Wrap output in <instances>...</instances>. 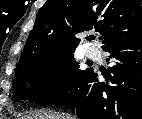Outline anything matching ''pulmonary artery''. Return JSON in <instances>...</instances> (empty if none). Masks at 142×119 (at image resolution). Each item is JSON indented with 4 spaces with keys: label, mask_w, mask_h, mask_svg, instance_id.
Returning a JSON list of instances; mask_svg holds the SVG:
<instances>
[{
    "label": "pulmonary artery",
    "mask_w": 142,
    "mask_h": 119,
    "mask_svg": "<svg viewBox=\"0 0 142 119\" xmlns=\"http://www.w3.org/2000/svg\"><path fill=\"white\" fill-rule=\"evenodd\" d=\"M86 56L90 59L100 60L101 56L97 48L89 47L86 50Z\"/></svg>",
    "instance_id": "e3ab8cb5"
}]
</instances>
